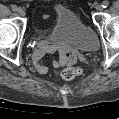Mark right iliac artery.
Instances as JSON below:
<instances>
[{"mask_svg": "<svg viewBox=\"0 0 119 119\" xmlns=\"http://www.w3.org/2000/svg\"><path fill=\"white\" fill-rule=\"evenodd\" d=\"M12 10L13 11H17L18 10L17 6L16 5H12Z\"/></svg>", "mask_w": 119, "mask_h": 119, "instance_id": "right-iliac-artery-1", "label": "right iliac artery"}]
</instances>
